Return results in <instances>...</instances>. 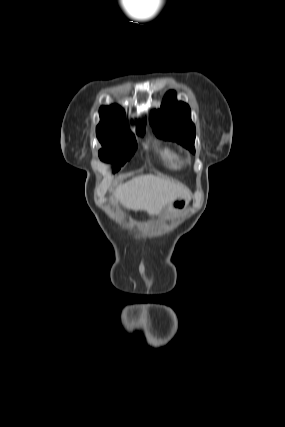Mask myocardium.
I'll return each mask as SVG.
<instances>
[{
  "label": "myocardium",
  "mask_w": 285,
  "mask_h": 427,
  "mask_svg": "<svg viewBox=\"0 0 285 427\" xmlns=\"http://www.w3.org/2000/svg\"><path fill=\"white\" fill-rule=\"evenodd\" d=\"M183 162H184V163H188V162H189V158H188V157H184V158H183Z\"/></svg>",
  "instance_id": "f54148a6"
}]
</instances>
